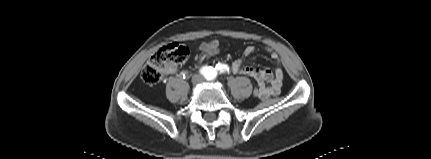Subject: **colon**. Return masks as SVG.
<instances>
[{"label":"colon","instance_id":"5ec220e1","mask_svg":"<svg viewBox=\"0 0 431 159\" xmlns=\"http://www.w3.org/2000/svg\"><path fill=\"white\" fill-rule=\"evenodd\" d=\"M223 54L221 49L210 48L206 50L208 57L216 55L220 57ZM189 56V49L181 44L173 43L158 49L150 57L147 64L144 66L141 72V79L148 85H154L158 83L163 74L170 68L184 63ZM260 89L252 87L251 96L258 97Z\"/></svg>","mask_w":431,"mask_h":159}]
</instances>
